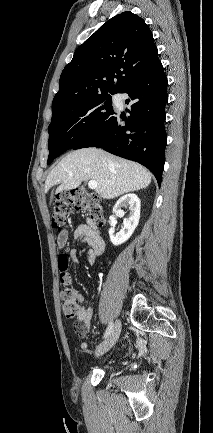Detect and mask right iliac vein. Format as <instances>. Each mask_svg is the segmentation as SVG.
I'll return each instance as SVG.
<instances>
[{
  "label": "right iliac vein",
  "instance_id": "right-iliac-vein-1",
  "mask_svg": "<svg viewBox=\"0 0 213 433\" xmlns=\"http://www.w3.org/2000/svg\"><path fill=\"white\" fill-rule=\"evenodd\" d=\"M120 332H121V322L120 320H117L107 340L97 347L95 352L96 357L103 355L115 345V343L117 342L120 336Z\"/></svg>",
  "mask_w": 213,
  "mask_h": 433
}]
</instances>
